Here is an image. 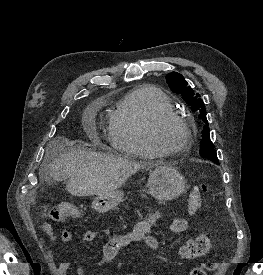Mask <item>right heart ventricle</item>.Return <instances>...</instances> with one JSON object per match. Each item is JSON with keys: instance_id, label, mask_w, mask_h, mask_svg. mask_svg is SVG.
<instances>
[{"instance_id": "right-heart-ventricle-1", "label": "right heart ventricle", "mask_w": 263, "mask_h": 275, "mask_svg": "<svg viewBox=\"0 0 263 275\" xmlns=\"http://www.w3.org/2000/svg\"><path fill=\"white\" fill-rule=\"evenodd\" d=\"M163 111H174V106L158 88L142 86L131 90L110 114L108 135L112 147L135 157H156L147 139V129Z\"/></svg>"}]
</instances>
